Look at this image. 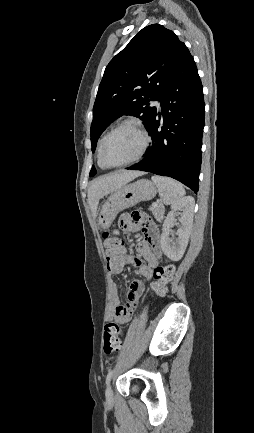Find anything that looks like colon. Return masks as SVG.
Segmentation results:
<instances>
[{
    "label": "colon",
    "instance_id": "colon-1",
    "mask_svg": "<svg viewBox=\"0 0 254 433\" xmlns=\"http://www.w3.org/2000/svg\"><path fill=\"white\" fill-rule=\"evenodd\" d=\"M128 220L131 224L135 225L145 221L143 215L134 211L128 215ZM104 253L107 264L110 269H116L121 262L124 253L123 242L116 236V233H104ZM175 268L173 265H165L159 267L155 272V279L159 285L157 294L163 295L165 286L173 278ZM122 346V329L114 321L108 322L104 327L103 335V351L106 355H111L120 350Z\"/></svg>",
    "mask_w": 254,
    "mask_h": 433
}]
</instances>
